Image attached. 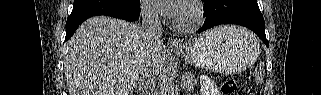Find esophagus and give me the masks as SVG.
Returning <instances> with one entry per match:
<instances>
[{"instance_id": "esophagus-1", "label": "esophagus", "mask_w": 321, "mask_h": 95, "mask_svg": "<svg viewBox=\"0 0 321 95\" xmlns=\"http://www.w3.org/2000/svg\"><path fill=\"white\" fill-rule=\"evenodd\" d=\"M168 46L169 47H182V43L178 40V39H175V38H170L169 41H168Z\"/></svg>"}]
</instances>
